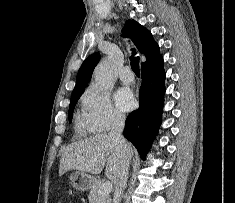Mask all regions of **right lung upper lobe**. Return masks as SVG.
<instances>
[{"instance_id": "1", "label": "right lung upper lobe", "mask_w": 235, "mask_h": 203, "mask_svg": "<svg viewBox=\"0 0 235 203\" xmlns=\"http://www.w3.org/2000/svg\"><path fill=\"white\" fill-rule=\"evenodd\" d=\"M123 34L128 36L136 48L146 56V61L142 63V66L151 62L155 58L160 56V50L158 44L152 37V34L149 30L141 26L135 20H127L123 28ZM100 59L99 53H94L90 55L82 63L77 77L76 85L72 94L83 92L84 88L91 79L92 72Z\"/></svg>"}]
</instances>
